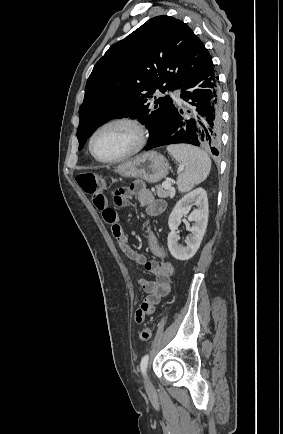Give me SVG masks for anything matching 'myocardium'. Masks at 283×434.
I'll list each match as a JSON object with an SVG mask.
<instances>
[{
    "mask_svg": "<svg viewBox=\"0 0 283 434\" xmlns=\"http://www.w3.org/2000/svg\"><path fill=\"white\" fill-rule=\"evenodd\" d=\"M117 124L127 125L134 130V132L136 134V141H135L134 146L128 152H126L123 155L118 156L116 158L104 159V158L97 156L96 153L94 152V149H93V141H94L96 135L104 128L112 126V125H117ZM148 136H149L148 130H147L145 124L140 119H138L137 117H133V116H118V117H114V118H111V119L103 122L92 132V134L89 137L88 148H89V152L91 153V155L97 161H99L101 163L112 164V163H117V162L123 161L125 159H128L131 156L140 152L145 147V145L148 141Z\"/></svg>",
    "mask_w": 283,
    "mask_h": 434,
    "instance_id": "obj_1",
    "label": "myocardium"
}]
</instances>
